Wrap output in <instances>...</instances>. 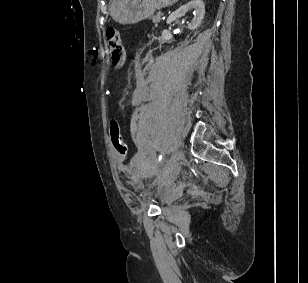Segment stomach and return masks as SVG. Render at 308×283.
Returning <instances> with one entry per match:
<instances>
[{
	"mask_svg": "<svg viewBox=\"0 0 308 283\" xmlns=\"http://www.w3.org/2000/svg\"><path fill=\"white\" fill-rule=\"evenodd\" d=\"M178 0H112L111 17L120 24H135L151 17L158 9L176 3Z\"/></svg>",
	"mask_w": 308,
	"mask_h": 283,
	"instance_id": "1",
	"label": "stomach"
}]
</instances>
